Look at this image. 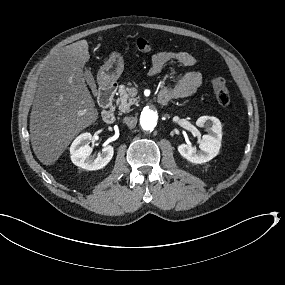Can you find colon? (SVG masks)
Wrapping results in <instances>:
<instances>
[{"mask_svg":"<svg viewBox=\"0 0 285 285\" xmlns=\"http://www.w3.org/2000/svg\"><path fill=\"white\" fill-rule=\"evenodd\" d=\"M133 46L144 53L152 51V43L142 37H137L132 40ZM212 87L216 100L221 105H228L231 102V92L222 77H214L212 79Z\"/></svg>","mask_w":285,"mask_h":285,"instance_id":"1","label":"colon"}]
</instances>
